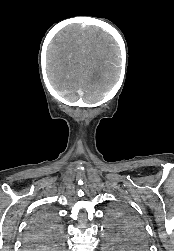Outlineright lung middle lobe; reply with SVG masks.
I'll list each match as a JSON object with an SVG mask.
<instances>
[{
  "label": "right lung middle lobe",
  "instance_id": "1",
  "mask_svg": "<svg viewBox=\"0 0 174 251\" xmlns=\"http://www.w3.org/2000/svg\"><path fill=\"white\" fill-rule=\"evenodd\" d=\"M61 233V226L50 210L38 212L31 221L27 246L36 250H60L57 238Z\"/></svg>",
  "mask_w": 174,
  "mask_h": 251
}]
</instances>
